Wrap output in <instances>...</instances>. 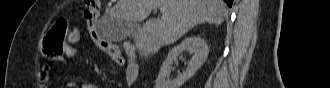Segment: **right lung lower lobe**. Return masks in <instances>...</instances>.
Returning a JSON list of instances; mask_svg holds the SVG:
<instances>
[{
    "label": "right lung lower lobe",
    "instance_id": "98d812e1",
    "mask_svg": "<svg viewBox=\"0 0 330 88\" xmlns=\"http://www.w3.org/2000/svg\"><path fill=\"white\" fill-rule=\"evenodd\" d=\"M224 1L227 3L229 7H231L233 4V0H224Z\"/></svg>",
    "mask_w": 330,
    "mask_h": 88
}]
</instances>
